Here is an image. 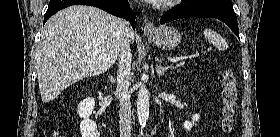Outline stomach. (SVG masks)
<instances>
[{
  "label": "stomach",
  "instance_id": "obj_1",
  "mask_svg": "<svg viewBox=\"0 0 280 137\" xmlns=\"http://www.w3.org/2000/svg\"><path fill=\"white\" fill-rule=\"evenodd\" d=\"M147 36L160 48L171 50L181 41L180 32L172 26H160Z\"/></svg>",
  "mask_w": 280,
  "mask_h": 137
}]
</instances>
